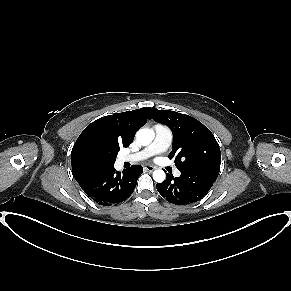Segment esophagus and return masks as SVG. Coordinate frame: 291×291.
<instances>
[{
    "label": "esophagus",
    "instance_id": "34e87169",
    "mask_svg": "<svg viewBox=\"0 0 291 291\" xmlns=\"http://www.w3.org/2000/svg\"><path fill=\"white\" fill-rule=\"evenodd\" d=\"M144 169H145L146 171L152 172V171H154L155 169H157V167H156V166H153V165H146V166L144 167Z\"/></svg>",
    "mask_w": 291,
    "mask_h": 291
}]
</instances>
